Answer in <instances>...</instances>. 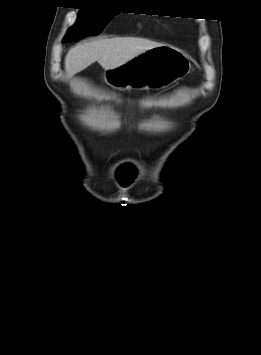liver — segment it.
Returning a JSON list of instances; mask_svg holds the SVG:
<instances>
[{
  "mask_svg": "<svg viewBox=\"0 0 261 355\" xmlns=\"http://www.w3.org/2000/svg\"><path fill=\"white\" fill-rule=\"evenodd\" d=\"M161 46L154 41L135 37L101 39L71 48L65 57L68 77L98 62L103 69H113L149 49Z\"/></svg>",
  "mask_w": 261,
  "mask_h": 355,
  "instance_id": "obj_1",
  "label": "liver"
}]
</instances>
